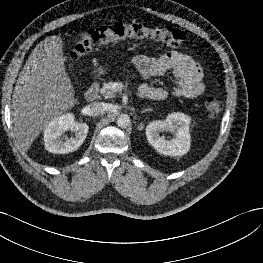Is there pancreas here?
Returning a JSON list of instances; mask_svg holds the SVG:
<instances>
[{
  "label": "pancreas",
  "instance_id": "cf45deb5",
  "mask_svg": "<svg viewBox=\"0 0 263 263\" xmlns=\"http://www.w3.org/2000/svg\"><path fill=\"white\" fill-rule=\"evenodd\" d=\"M114 82L109 81L103 84V87L100 88V94L105 98H115L116 97V90L113 89Z\"/></svg>",
  "mask_w": 263,
  "mask_h": 263
}]
</instances>
